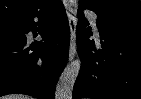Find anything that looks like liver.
<instances>
[{
  "label": "liver",
  "instance_id": "1",
  "mask_svg": "<svg viewBox=\"0 0 141 99\" xmlns=\"http://www.w3.org/2000/svg\"><path fill=\"white\" fill-rule=\"evenodd\" d=\"M2 99H32V98L25 95H10V96L3 97Z\"/></svg>",
  "mask_w": 141,
  "mask_h": 99
}]
</instances>
